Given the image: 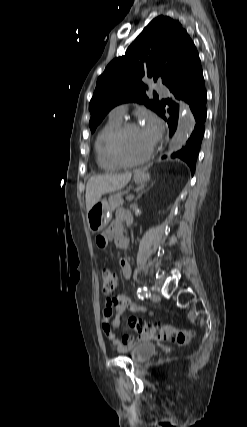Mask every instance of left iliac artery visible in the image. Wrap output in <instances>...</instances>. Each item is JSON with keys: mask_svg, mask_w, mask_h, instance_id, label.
Instances as JSON below:
<instances>
[{"mask_svg": "<svg viewBox=\"0 0 247 427\" xmlns=\"http://www.w3.org/2000/svg\"><path fill=\"white\" fill-rule=\"evenodd\" d=\"M137 294H138V297L142 298V299L145 298V297L150 296V294L148 293V290H147L146 287L138 288Z\"/></svg>", "mask_w": 247, "mask_h": 427, "instance_id": "44dca946", "label": "left iliac artery"}]
</instances>
